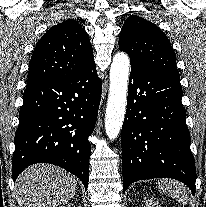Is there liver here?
<instances>
[{"label":"liver","mask_w":206,"mask_h":207,"mask_svg":"<svg viewBox=\"0 0 206 207\" xmlns=\"http://www.w3.org/2000/svg\"><path fill=\"white\" fill-rule=\"evenodd\" d=\"M15 187L21 207H63L74 197L77 181L60 167L36 164L18 176Z\"/></svg>","instance_id":"1"}]
</instances>
